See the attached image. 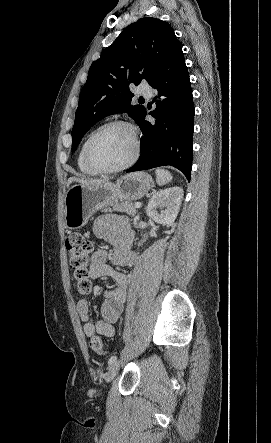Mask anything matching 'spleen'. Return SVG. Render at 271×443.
<instances>
[{"mask_svg":"<svg viewBox=\"0 0 271 443\" xmlns=\"http://www.w3.org/2000/svg\"><path fill=\"white\" fill-rule=\"evenodd\" d=\"M155 172L158 186H165V184L171 182L172 176L168 170H155Z\"/></svg>","mask_w":271,"mask_h":443,"instance_id":"3e777b00","label":"spleen"}]
</instances>
